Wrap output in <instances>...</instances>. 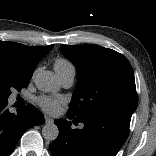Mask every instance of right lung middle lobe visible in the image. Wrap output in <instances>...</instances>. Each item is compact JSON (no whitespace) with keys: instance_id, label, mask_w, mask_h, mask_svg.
Wrapping results in <instances>:
<instances>
[{"instance_id":"1","label":"right lung middle lobe","mask_w":156,"mask_h":156,"mask_svg":"<svg viewBox=\"0 0 156 156\" xmlns=\"http://www.w3.org/2000/svg\"><path fill=\"white\" fill-rule=\"evenodd\" d=\"M29 81L30 78L19 76L9 69L0 67V98L7 99L11 90L25 88Z\"/></svg>"}]
</instances>
